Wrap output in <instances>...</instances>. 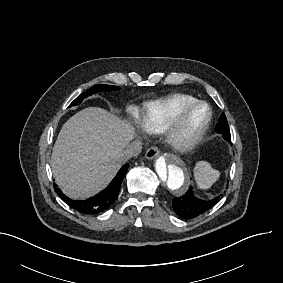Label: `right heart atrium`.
<instances>
[{"mask_svg": "<svg viewBox=\"0 0 283 283\" xmlns=\"http://www.w3.org/2000/svg\"><path fill=\"white\" fill-rule=\"evenodd\" d=\"M125 116L133 119L134 121H136L139 124V126L141 127L143 134H144V143H145L147 141V135H146L144 125H143L142 120L139 117V115L136 112H134L133 110L129 109V110L126 111Z\"/></svg>", "mask_w": 283, "mask_h": 283, "instance_id": "right-heart-atrium-1", "label": "right heart atrium"}]
</instances>
